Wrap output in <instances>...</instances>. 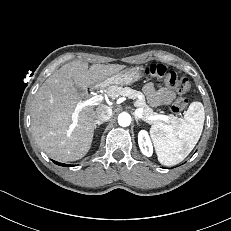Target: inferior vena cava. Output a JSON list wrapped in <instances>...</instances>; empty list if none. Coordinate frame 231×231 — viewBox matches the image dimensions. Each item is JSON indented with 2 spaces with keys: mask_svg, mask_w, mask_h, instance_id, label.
I'll use <instances>...</instances> for the list:
<instances>
[{
  "mask_svg": "<svg viewBox=\"0 0 231 231\" xmlns=\"http://www.w3.org/2000/svg\"><path fill=\"white\" fill-rule=\"evenodd\" d=\"M112 116V109L109 106L101 105L96 109V121L106 122Z\"/></svg>",
  "mask_w": 231,
  "mask_h": 231,
  "instance_id": "1",
  "label": "inferior vena cava"
}]
</instances>
